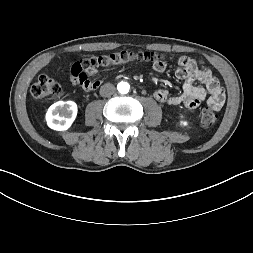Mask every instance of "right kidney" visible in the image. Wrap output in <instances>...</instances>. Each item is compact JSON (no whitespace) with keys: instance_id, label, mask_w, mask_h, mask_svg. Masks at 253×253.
<instances>
[{"instance_id":"1","label":"right kidney","mask_w":253,"mask_h":253,"mask_svg":"<svg viewBox=\"0 0 253 253\" xmlns=\"http://www.w3.org/2000/svg\"><path fill=\"white\" fill-rule=\"evenodd\" d=\"M77 115V104L73 101H58L46 113L47 125L57 131L67 130Z\"/></svg>"}]
</instances>
